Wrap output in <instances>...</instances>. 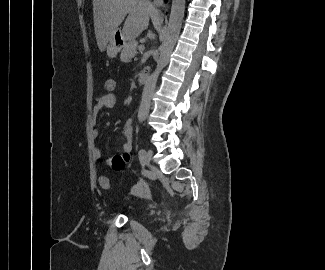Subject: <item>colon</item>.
Here are the masks:
<instances>
[{
	"label": "colon",
	"instance_id": "obj_1",
	"mask_svg": "<svg viewBox=\"0 0 325 270\" xmlns=\"http://www.w3.org/2000/svg\"><path fill=\"white\" fill-rule=\"evenodd\" d=\"M103 88L106 94H115L117 89V82L113 77H108L104 81ZM101 188L107 190L110 188V181L107 177H101L99 180Z\"/></svg>",
	"mask_w": 325,
	"mask_h": 270
}]
</instances>
